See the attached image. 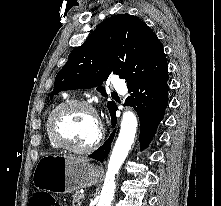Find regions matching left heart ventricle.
<instances>
[{
  "instance_id": "1",
  "label": "left heart ventricle",
  "mask_w": 221,
  "mask_h": 206,
  "mask_svg": "<svg viewBox=\"0 0 221 206\" xmlns=\"http://www.w3.org/2000/svg\"><path fill=\"white\" fill-rule=\"evenodd\" d=\"M56 133L75 147L90 145L97 136L98 123L90 110L70 106L57 114L54 120Z\"/></svg>"
}]
</instances>
